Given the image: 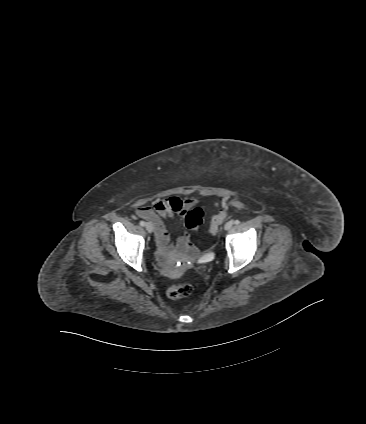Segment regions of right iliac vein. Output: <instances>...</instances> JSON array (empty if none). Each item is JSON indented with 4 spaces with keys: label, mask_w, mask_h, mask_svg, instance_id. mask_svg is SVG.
Segmentation results:
<instances>
[{
    "label": "right iliac vein",
    "mask_w": 366,
    "mask_h": 424,
    "mask_svg": "<svg viewBox=\"0 0 366 424\" xmlns=\"http://www.w3.org/2000/svg\"><path fill=\"white\" fill-rule=\"evenodd\" d=\"M145 228L149 233L153 232V226L151 223H146Z\"/></svg>",
    "instance_id": "63e3f726"
}]
</instances>
